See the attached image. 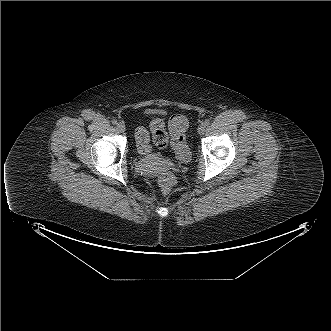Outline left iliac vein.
Returning a JSON list of instances; mask_svg holds the SVG:
<instances>
[{
	"label": "left iliac vein",
	"instance_id": "4c4485c4",
	"mask_svg": "<svg viewBox=\"0 0 331 331\" xmlns=\"http://www.w3.org/2000/svg\"><path fill=\"white\" fill-rule=\"evenodd\" d=\"M205 129H206L205 124H204V123H201V124L198 126L197 131H198V133H199L200 135H202V134H204Z\"/></svg>",
	"mask_w": 331,
	"mask_h": 331
}]
</instances>
